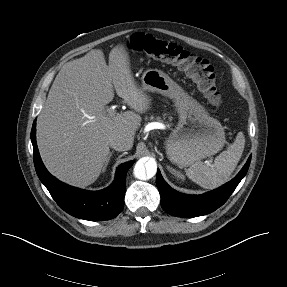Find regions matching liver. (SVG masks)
I'll use <instances>...</instances> for the list:
<instances>
[{
	"mask_svg": "<svg viewBox=\"0 0 287 287\" xmlns=\"http://www.w3.org/2000/svg\"><path fill=\"white\" fill-rule=\"evenodd\" d=\"M114 89L132 111L110 116L106 105ZM151 99L138 88L128 52L118 44L109 54L102 50L67 62L56 76L37 120V144L48 171L76 187L94 183L110 153L111 138L133 146L140 113Z\"/></svg>",
	"mask_w": 287,
	"mask_h": 287,
	"instance_id": "6515ba94",
	"label": "liver"
}]
</instances>
